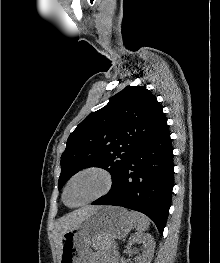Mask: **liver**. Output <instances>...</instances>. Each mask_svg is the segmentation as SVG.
<instances>
[{
    "instance_id": "6515ba94",
    "label": "liver",
    "mask_w": 220,
    "mask_h": 263,
    "mask_svg": "<svg viewBox=\"0 0 220 263\" xmlns=\"http://www.w3.org/2000/svg\"><path fill=\"white\" fill-rule=\"evenodd\" d=\"M99 208L98 206H86L75 210L62 218H60L55 226L54 236L57 246L61 249V240L64 233L73 229L83 220H85L94 210Z\"/></svg>"
}]
</instances>
